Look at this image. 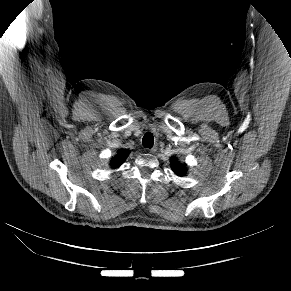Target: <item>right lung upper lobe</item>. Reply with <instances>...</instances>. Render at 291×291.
Masks as SVG:
<instances>
[{
    "instance_id": "cb5924a9",
    "label": "right lung upper lobe",
    "mask_w": 291,
    "mask_h": 291,
    "mask_svg": "<svg viewBox=\"0 0 291 291\" xmlns=\"http://www.w3.org/2000/svg\"><path fill=\"white\" fill-rule=\"evenodd\" d=\"M129 153L130 151L128 149H120L117 155L111 159L110 166L113 169L120 167L128 157Z\"/></svg>"
}]
</instances>
